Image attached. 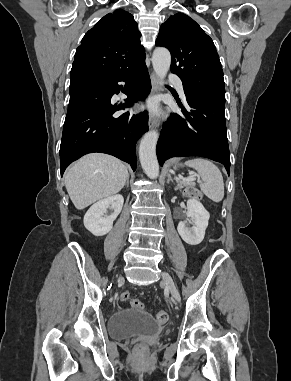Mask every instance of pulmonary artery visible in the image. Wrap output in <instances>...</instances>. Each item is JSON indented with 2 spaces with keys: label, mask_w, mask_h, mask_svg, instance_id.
Returning a JSON list of instances; mask_svg holds the SVG:
<instances>
[{
  "label": "pulmonary artery",
  "mask_w": 291,
  "mask_h": 381,
  "mask_svg": "<svg viewBox=\"0 0 291 381\" xmlns=\"http://www.w3.org/2000/svg\"><path fill=\"white\" fill-rule=\"evenodd\" d=\"M169 79L170 81L174 82L179 90L180 93H183L184 90H183V83L181 81V79H179L176 75L174 74H170L169 76Z\"/></svg>",
  "instance_id": "pulmonary-artery-1"
}]
</instances>
